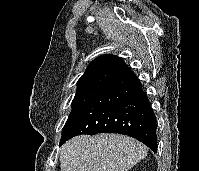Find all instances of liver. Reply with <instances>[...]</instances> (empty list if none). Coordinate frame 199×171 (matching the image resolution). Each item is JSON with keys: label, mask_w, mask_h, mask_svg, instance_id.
I'll use <instances>...</instances> for the list:
<instances>
[{"label": "liver", "mask_w": 199, "mask_h": 171, "mask_svg": "<svg viewBox=\"0 0 199 171\" xmlns=\"http://www.w3.org/2000/svg\"><path fill=\"white\" fill-rule=\"evenodd\" d=\"M148 148L121 134L80 135L60 150L61 171H128L147 155Z\"/></svg>", "instance_id": "obj_1"}]
</instances>
